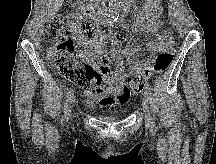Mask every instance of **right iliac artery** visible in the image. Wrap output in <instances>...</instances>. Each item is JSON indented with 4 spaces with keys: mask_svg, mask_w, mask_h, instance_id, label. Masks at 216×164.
Wrapping results in <instances>:
<instances>
[{
    "mask_svg": "<svg viewBox=\"0 0 216 164\" xmlns=\"http://www.w3.org/2000/svg\"><path fill=\"white\" fill-rule=\"evenodd\" d=\"M114 21H116V19H109L108 20V24H112ZM73 98H74V90L73 89H70L69 92H68V96H67V100L65 102V105H64V119L66 121L69 120L70 118V104L71 102L73 101Z\"/></svg>",
    "mask_w": 216,
    "mask_h": 164,
    "instance_id": "82829eb1",
    "label": "right iliac artery"
}]
</instances>
